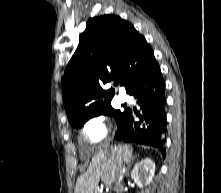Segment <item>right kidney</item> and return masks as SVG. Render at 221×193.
Returning a JSON list of instances; mask_svg holds the SVG:
<instances>
[{
    "label": "right kidney",
    "mask_w": 221,
    "mask_h": 193,
    "mask_svg": "<svg viewBox=\"0 0 221 193\" xmlns=\"http://www.w3.org/2000/svg\"><path fill=\"white\" fill-rule=\"evenodd\" d=\"M155 174V163L150 158H145L138 162L132 172L131 178L139 187L150 184Z\"/></svg>",
    "instance_id": "right-kidney-1"
}]
</instances>
